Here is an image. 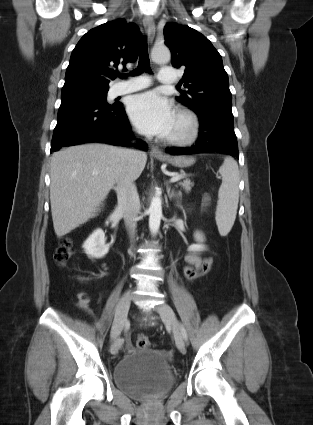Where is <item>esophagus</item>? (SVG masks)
<instances>
[{"instance_id":"34e87169","label":"esophagus","mask_w":313,"mask_h":425,"mask_svg":"<svg viewBox=\"0 0 313 425\" xmlns=\"http://www.w3.org/2000/svg\"><path fill=\"white\" fill-rule=\"evenodd\" d=\"M143 25L146 29L149 41L152 42V40L155 36V24H154L152 17L146 16L143 19ZM150 153H151V155H153L155 157H164L165 156L163 154L162 150L159 149L158 147L154 146V145L151 146Z\"/></svg>"}]
</instances>
